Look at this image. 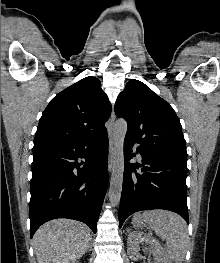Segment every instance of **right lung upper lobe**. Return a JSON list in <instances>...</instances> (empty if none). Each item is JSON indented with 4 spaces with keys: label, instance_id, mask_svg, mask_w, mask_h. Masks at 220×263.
<instances>
[{
    "label": "right lung upper lobe",
    "instance_id": "cb5924a9",
    "mask_svg": "<svg viewBox=\"0 0 220 263\" xmlns=\"http://www.w3.org/2000/svg\"><path fill=\"white\" fill-rule=\"evenodd\" d=\"M111 104L95 77H86L57 94L44 110L34 146L89 139L105 131Z\"/></svg>",
    "mask_w": 220,
    "mask_h": 263
}]
</instances>
